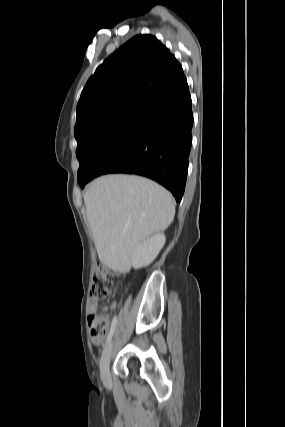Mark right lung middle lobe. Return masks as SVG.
Returning <instances> with one entry per match:
<instances>
[{"instance_id":"dd1d6c3e","label":"right lung middle lobe","mask_w":285,"mask_h":427,"mask_svg":"<svg viewBox=\"0 0 285 427\" xmlns=\"http://www.w3.org/2000/svg\"><path fill=\"white\" fill-rule=\"evenodd\" d=\"M144 105L126 106L115 112L92 120L77 131L76 155L80 162L78 182H85L104 156L115 146L132 123L137 119Z\"/></svg>"}]
</instances>
